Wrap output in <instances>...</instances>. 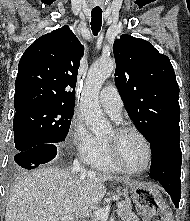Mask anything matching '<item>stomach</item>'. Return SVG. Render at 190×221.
Returning a JSON list of instances; mask_svg holds the SVG:
<instances>
[{
	"instance_id": "stomach-1",
	"label": "stomach",
	"mask_w": 190,
	"mask_h": 221,
	"mask_svg": "<svg viewBox=\"0 0 190 221\" xmlns=\"http://www.w3.org/2000/svg\"><path fill=\"white\" fill-rule=\"evenodd\" d=\"M126 191L133 200H129L134 221H170L168 206L162 200L157 187L146 182H133ZM159 217V218H152Z\"/></svg>"
}]
</instances>
